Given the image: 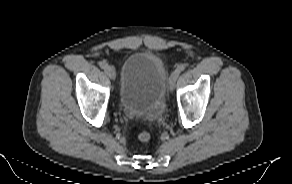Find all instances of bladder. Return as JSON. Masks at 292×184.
I'll list each match as a JSON object with an SVG mask.
<instances>
[{
    "instance_id": "1",
    "label": "bladder",
    "mask_w": 292,
    "mask_h": 184,
    "mask_svg": "<svg viewBox=\"0 0 292 184\" xmlns=\"http://www.w3.org/2000/svg\"><path fill=\"white\" fill-rule=\"evenodd\" d=\"M167 80V68L156 54H131L120 76L118 100L121 108L129 116L158 119L164 109Z\"/></svg>"
}]
</instances>
